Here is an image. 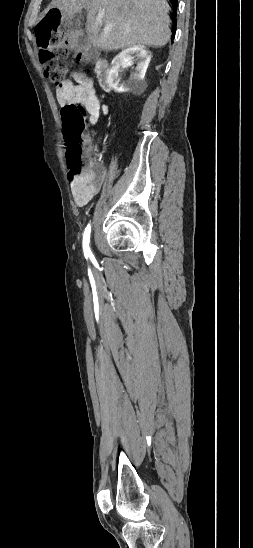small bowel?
<instances>
[{
    "label": "small bowel",
    "instance_id": "1",
    "mask_svg": "<svg viewBox=\"0 0 253 548\" xmlns=\"http://www.w3.org/2000/svg\"><path fill=\"white\" fill-rule=\"evenodd\" d=\"M56 99L59 105L79 104L84 106L90 114V123L96 125L101 116L106 114L107 106L102 104L93 86V81L81 72L72 73L68 82L56 90ZM99 174L85 173L76 179H71V193L75 203L82 207L87 205L99 192L106 172L99 166Z\"/></svg>",
    "mask_w": 253,
    "mask_h": 548
}]
</instances>
